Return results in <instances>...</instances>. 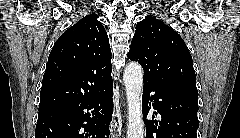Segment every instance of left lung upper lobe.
Masks as SVG:
<instances>
[{"label": "left lung upper lobe", "mask_w": 240, "mask_h": 138, "mask_svg": "<svg viewBox=\"0 0 240 138\" xmlns=\"http://www.w3.org/2000/svg\"><path fill=\"white\" fill-rule=\"evenodd\" d=\"M128 58L141 64L146 85L196 88L193 61L185 42L153 16H146L136 25Z\"/></svg>", "instance_id": "5c2ea615"}]
</instances>
